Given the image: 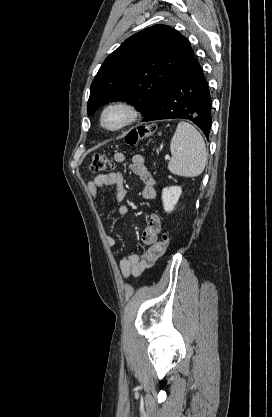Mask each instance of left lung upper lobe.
Returning a JSON list of instances; mask_svg holds the SVG:
<instances>
[{
  "mask_svg": "<svg viewBox=\"0 0 272 417\" xmlns=\"http://www.w3.org/2000/svg\"><path fill=\"white\" fill-rule=\"evenodd\" d=\"M194 57L189 41L167 25H154L126 39L103 62L88 100V115L109 101L130 102L143 116Z\"/></svg>",
  "mask_w": 272,
  "mask_h": 417,
  "instance_id": "1",
  "label": "left lung upper lobe"
}]
</instances>
